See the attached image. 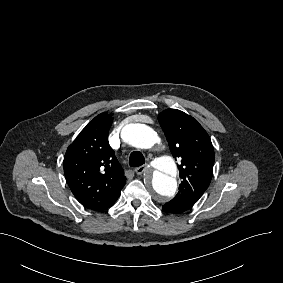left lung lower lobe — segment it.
<instances>
[{"label": "left lung lower lobe", "instance_id": "0a47b994", "mask_svg": "<svg viewBox=\"0 0 283 283\" xmlns=\"http://www.w3.org/2000/svg\"><path fill=\"white\" fill-rule=\"evenodd\" d=\"M191 207L189 204L172 205L166 203L162 206V209L167 213L178 214L187 211Z\"/></svg>", "mask_w": 283, "mask_h": 283}]
</instances>
